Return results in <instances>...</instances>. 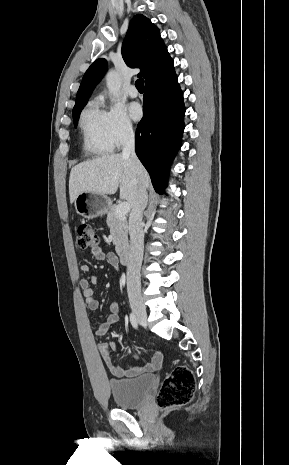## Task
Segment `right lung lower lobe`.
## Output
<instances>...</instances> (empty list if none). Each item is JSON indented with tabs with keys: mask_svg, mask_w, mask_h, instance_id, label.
<instances>
[{
	"mask_svg": "<svg viewBox=\"0 0 289 465\" xmlns=\"http://www.w3.org/2000/svg\"><path fill=\"white\" fill-rule=\"evenodd\" d=\"M144 116L135 136V151L159 193L166 186L169 163L181 146L185 107L177 76L145 86Z\"/></svg>",
	"mask_w": 289,
	"mask_h": 465,
	"instance_id": "right-lung-lower-lobe-1",
	"label": "right lung lower lobe"
}]
</instances>
